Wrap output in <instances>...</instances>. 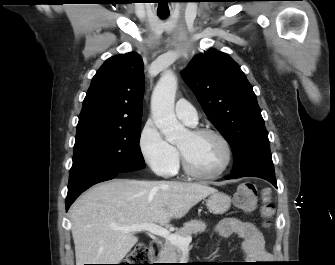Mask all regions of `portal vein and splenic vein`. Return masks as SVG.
Here are the masks:
<instances>
[{
  "label": "portal vein and splenic vein",
  "instance_id": "obj_1",
  "mask_svg": "<svg viewBox=\"0 0 335 265\" xmlns=\"http://www.w3.org/2000/svg\"><path fill=\"white\" fill-rule=\"evenodd\" d=\"M115 230H119L121 232H139V231H147L156 236H160L170 241L173 245L179 247H188L192 241V237H182L177 234L171 233L169 230L159 226L157 224L152 223H144V224H134L131 226H122L115 227Z\"/></svg>",
  "mask_w": 335,
  "mask_h": 265
}]
</instances>
